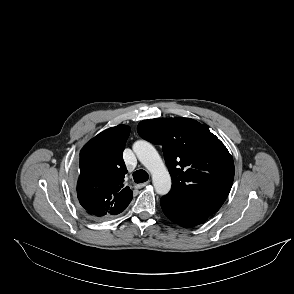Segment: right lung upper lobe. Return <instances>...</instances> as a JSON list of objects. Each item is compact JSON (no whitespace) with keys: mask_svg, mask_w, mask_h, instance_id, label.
Segmentation results:
<instances>
[{"mask_svg":"<svg viewBox=\"0 0 294 294\" xmlns=\"http://www.w3.org/2000/svg\"><path fill=\"white\" fill-rule=\"evenodd\" d=\"M130 128L118 125L91 139L80 151L77 196L85 211L97 218L121 213L132 200L123 187L127 169L122 157Z\"/></svg>","mask_w":294,"mask_h":294,"instance_id":"obj_1","label":"right lung upper lobe"}]
</instances>
